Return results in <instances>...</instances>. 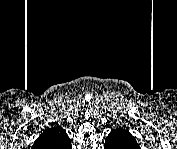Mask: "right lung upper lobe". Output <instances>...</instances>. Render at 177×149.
I'll return each mask as SVG.
<instances>
[{
  "instance_id": "1",
  "label": "right lung upper lobe",
  "mask_w": 177,
  "mask_h": 149,
  "mask_svg": "<svg viewBox=\"0 0 177 149\" xmlns=\"http://www.w3.org/2000/svg\"><path fill=\"white\" fill-rule=\"evenodd\" d=\"M42 137H52V139L48 140V142L43 143L42 146H38V140ZM40 137L36 140L34 146L37 148H44V149H66L65 145H70L71 141L62 127L57 125L52 126L43 131Z\"/></svg>"
}]
</instances>
